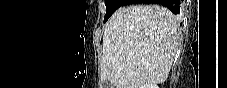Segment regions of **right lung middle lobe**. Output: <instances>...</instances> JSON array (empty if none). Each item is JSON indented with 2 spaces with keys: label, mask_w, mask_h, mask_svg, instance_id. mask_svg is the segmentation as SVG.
<instances>
[{
  "label": "right lung middle lobe",
  "mask_w": 227,
  "mask_h": 88,
  "mask_svg": "<svg viewBox=\"0 0 227 88\" xmlns=\"http://www.w3.org/2000/svg\"><path fill=\"white\" fill-rule=\"evenodd\" d=\"M129 0H106L105 5L107 8L105 17H104V22H106L109 17L121 6L128 5Z\"/></svg>",
  "instance_id": "right-lung-middle-lobe-1"
}]
</instances>
